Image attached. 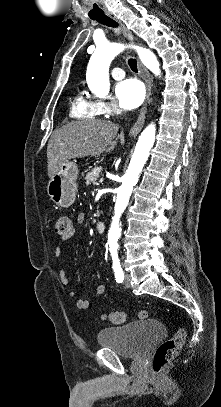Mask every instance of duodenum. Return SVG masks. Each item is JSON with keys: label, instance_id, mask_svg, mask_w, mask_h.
<instances>
[{"label": "duodenum", "instance_id": "obj_1", "mask_svg": "<svg viewBox=\"0 0 221 407\" xmlns=\"http://www.w3.org/2000/svg\"><path fill=\"white\" fill-rule=\"evenodd\" d=\"M96 230L99 234L105 231V223L103 221H98L96 224Z\"/></svg>", "mask_w": 221, "mask_h": 407}]
</instances>
